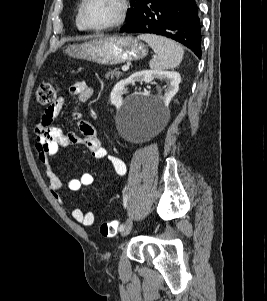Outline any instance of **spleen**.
<instances>
[{
  "label": "spleen",
  "instance_id": "3e777b00",
  "mask_svg": "<svg viewBox=\"0 0 267 301\" xmlns=\"http://www.w3.org/2000/svg\"><path fill=\"white\" fill-rule=\"evenodd\" d=\"M138 39L145 41L157 54V57L149 63L151 69H173L181 63L184 55L183 48L173 40L151 34L139 35Z\"/></svg>",
  "mask_w": 267,
  "mask_h": 301
}]
</instances>
